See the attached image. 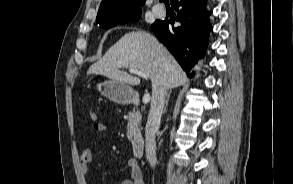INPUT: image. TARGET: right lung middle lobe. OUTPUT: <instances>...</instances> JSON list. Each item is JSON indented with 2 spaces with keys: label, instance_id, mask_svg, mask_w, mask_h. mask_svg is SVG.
<instances>
[{
  "label": "right lung middle lobe",
  "instance_id": "obj_1",
  "mask_svg": "<svg viewBox=\"0 0 293 184\" xmlns=\"http://www.w3.org/2000/svg\"><path fill=\"white\" fill-rule=\"evenodd\" d=\"M140 17H141V13H137V14L132 15L130 17L118 20V21L110 23V24L102 25L100 27L109 29V28H112V27L117 26L119 24H124L127 22H134V21L138 20Z\"/></svg>",
  "mask_w": 293,
  "mask_h": 184
}]
</instances>
